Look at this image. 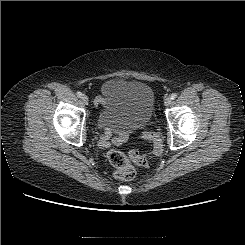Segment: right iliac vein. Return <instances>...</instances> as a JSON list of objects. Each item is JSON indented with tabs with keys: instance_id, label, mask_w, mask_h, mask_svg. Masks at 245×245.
I'll return each instance as SVG.
<instances>
[{
	"instance_id": "right-iliac-vein-1",
	"label": "right iliac vein",
	"mask_w": 245,
	"mask_h": 245,
	"mask_svg": "<svg viewBox=\"0 0 245 245\" xmlns=\"http://www.w3.org/2000/svg\"><path fill=\"white\" fill-rule=\"evenodd\" d=\"M81 99H82L84 104L88 105L89 99H88V97L86 95H82Z\"/></svg>"
}]
</instances>
